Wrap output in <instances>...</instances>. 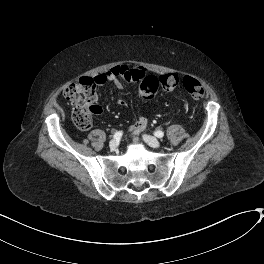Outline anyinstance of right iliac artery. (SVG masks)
Returning a JSON list of instances; mask_svg holds the SVG:
<instances>
[{
  "mask_svg": "<svg viewBox=\"0 0 264 264\" xmlns=\"http://www.w3.org/2000/svg\"><path fill=\"white\" fill-rule=\"evenodd\" d=\"M121 136H122V131H118V132H116L115 134H114V139H120L121 138Z\"/></svg>",
  "mask_w": 264,
  "mask_h": 264,
  "instance_id": "82829eb1",
  "label": "right iliac artery"
}]
</instances>
